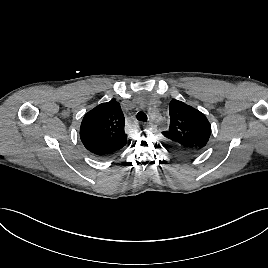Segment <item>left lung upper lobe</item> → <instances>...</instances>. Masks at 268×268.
<instances>
[{"label": "left lung upper lobe", "mask_w": 268, "mask_h": 268, "mask_svg": "<svg viewBox=\"0 0 268 268\" xmlns=\"http://www.w3.org/2000/svg\"><path fill=\"white\" fill-rule=\"evenodd\" d=\"M170 126L162 134L173 146L203 151L211 135V125L199 110L178 100L169 104Z\"/></svg>", "instance_id": "left-lung-upper-lobe-1"}]
</instances>
